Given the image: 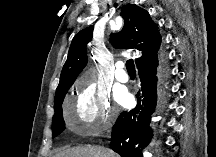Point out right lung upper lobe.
Here are the masks:
<instances>
[{"mask_svg": "<svg viewBox=\"0 0 216 157\" xmlns=\"http://www.w3.org/2000/svg\"><path fill=\"white\" fill-rule=\"evenodd\" d=\"M124 19L123 29L111 34L110 41L116 48H135L142 51L136 59L139 66L157 56L161 37L157 25L149 13L134 4L125 5L120 14ZM93 36V26L81 30L75 35L69 48L67 60L63 66L56 96L65 88L71 87L78 74L87 63L86 44Z\"/></svg>", "mask_w": 216, "mask_h": 157, "instance_id": "obj_1", "label": "right lung upper lobe"}]
</instances>
